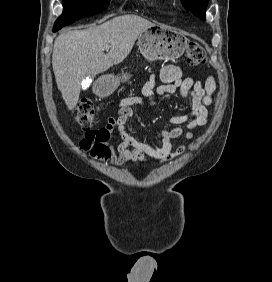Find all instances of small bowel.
<instances>
[{
	"label": "small bowel",
	"instance_id": "1",
	"mask_svg": "<svg viewBox=\"0 0 272 282\" xmlns=\"http://www.w3.org/2000/svg\"><path fill=\"white\" fill-rule=\"evenodd\" d=\"M160 78L164 84L156 88V94L161 96L167 93H175L178 90L182 100L189 104V112L171 117L169 122L176 125V127L170 131L162 130L159 135L162 146L153 148L138 141L126 131V123L133 115L131 105H143L142 99L132 97L123 100L119 106L117 117L110 118L107 124V128L110 131L114 130L119 139L118 144L114 147L111 164L122 166L127 162H145L147 161L146 155L161 162L169 161L186 149L185 146H181L176 153L171 152L172 140L182 135L189 139L193 136L192 132L194 130L208 122L207 107L212 102V94L216 87L212 76L208 77L203 83L190 77H183L179 67L168 65L161 70ZM154 89L155 80L150 78L142 89L144 96L149 100V107L156 105ZM183 123L187 125L188 132L186 133H183L179 127Z\"/></svg>",
	"mask_w": 272,
	"mask_h": 282
}]
</instances>
